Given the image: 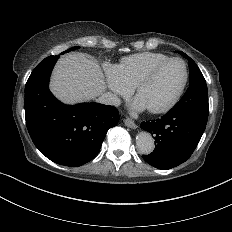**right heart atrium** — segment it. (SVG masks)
<instances>
[{"mask_svg":"<svg viewBox=\"0 0 232 232\" xmlns=\"http://www.w3.org/2000/svg\"><path fill=\"white\" fill-rule=\"evenodd\" d=\"M101 65L106 69V71L109 74V77L113 85V92L117 94H127L130 89L126 87L123 84V82L119 79L117 75L116 65H113L107 61L103 62Z\"/></svg>","mask_w":232,"mask_h":232,"instance_id":"1","label":"right heart atrium"}]
</instances>
